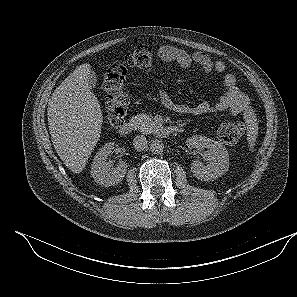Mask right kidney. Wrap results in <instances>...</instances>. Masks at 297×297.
Listing matches in <instances>:
<instances>
[{
    "label": "right kidney",
    "mask_w": 297,
    "mask_h": 297,
    "mask_svg": "<svg viewBox=\"0 0 297 297\" xmlns=\"http://www.w3.org/2000/svg\"><path fill=\"white\" fill-rule=\"evenodd\" d=\"M113 149L114 143H106L97 152L91 167V175L94 181L104 186L120 183L127 172L128 165L126 162L120 161L117 167L113 168L111 161L108 160Z\"/></svg>",
    "instance_id": "ca27d5eb"
}]
</instances>
